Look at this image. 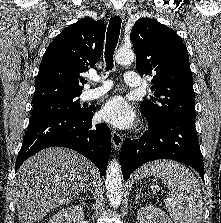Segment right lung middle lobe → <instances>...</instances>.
Wrapping results in <instances>:
<instances>
[{
	"instance_id": "obj_1",
	"label": "right lung middle lobe",
	"mask_w": 221,
	"mask_h": 223,
	"mask_svg": "<svg viewBox=\"0 0 221 223\" xmlns=\"http://www.w3.org/2000/svg\"><path fill=\"white\" fill-rule=\"evenodd\" d=\"M78 96L34 103L30 120L49 114H80L88 111L90 108L81 105Z\"/></svg>"
}]
</instances>
